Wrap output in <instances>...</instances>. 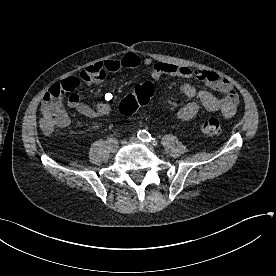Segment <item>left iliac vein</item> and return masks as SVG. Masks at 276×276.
<instances>
[{"label":"left iliac vein","mask_w":276,"mask_h":276,"mask_svg":"<svg viewBox=\"0 0 276 276\" xmlns=\"http://www.w3.org/2000/svg\"><path fill=\"white\" fill-rule=\"evenodd\" d=\"M129 141H130V143H133V144H144L142 141H140V140H139L138 138H136V137H130ZM147 147H148L150 150L154 151L153 148H152L151 146L147 145Z\"/></svg>","instance_id":"left-iliac-vein-1"}]
</instances>
